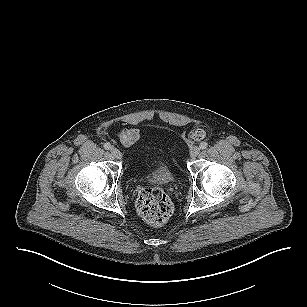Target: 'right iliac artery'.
<instances>
[{"mask_svg": "<svg viewBox=\"0 0 307 307\" xmlns=\"http://www.w3.org/2000/svg\"><path fill=\"white\" fill-rule=\"evenodd\" d=\"M104 148H105L106 150L111 149V144H110V143H105V144H104Z\"/></svg>", "mask_w": 307, "mask_h": 307, "instance_id": "82829eb1", "label": "right iliac artery"}]
</instances>
